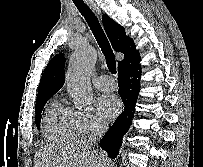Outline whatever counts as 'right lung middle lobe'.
Returning <instances> with one entry per match:
<instances>
[{
    "label": "right lung middle lobe",
    "mask_w": 203,
    "mask_h": 167,
    "mask_svg": "<svg viewBox=\"0 0 203 167\" xmlns=\"http://www.w3.org/2000/svg\"><path fill=\"white\" fill-rule=\"evenodd\" d=\"M49 98L44 99L42 101H39L36 103L35 105V112H36V117H35V124L37 126L38 129H40V121H41V112L46 104V102L48 101Z\"/></svg>",
    "instance_id": "dd1d6c3e"
}]
</instances>
